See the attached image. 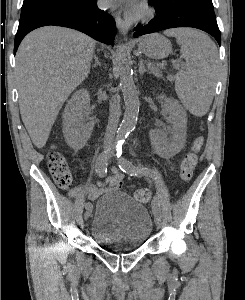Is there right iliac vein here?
Instances as JSON below:
<instances>
[{
    "mask_svg": "<svg viewBox=\"0 0 245 300\" xmlns=\"http://www.w3.org/2000/svg\"><path fill=\"white\" fill-rule=\"evenodd\" d=\"M92 209H93V206L91 205L90 207H87L86 208V211L84 213V219L87 220L90 216H91V213H92Z\"/></svg>",
    "mask_w": 245,
    "mask_h": 300,
    "instance_id": "right-iliac-vein-1",
    "label": "right iliac vein"
}]
</instances>
